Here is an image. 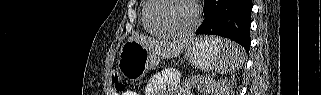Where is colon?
<instances>
[{"label": "colon", "mask_w": 321, "mask_h": 95, "mask_svg": "<svg viewBox=\"0 0 321 95\" xmlns=\"http://www.w3.org/2000/svg\"><path fill=\"white\" fill-rule=\"evenodd\" d=\"M112 83L114 85V88L118 92H124L125 91V83L122 80L121 76L119 75L118 72H114L112 74Z\"/></svg>", "instance_id": "1"}]
</instances>
